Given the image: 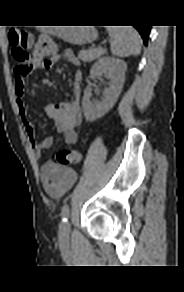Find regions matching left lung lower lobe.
I'll list each match as a JSON object with an SVG mask.
<instances>
[{"instance_id": "left-lung-lower-lobe-1", "label": "left lung lower lobe", "mask_w": 184, "mask_h": 292, "mask_svg": "<svg viewBox=\"0 0 184 292\" xmlns=\"http://www.w3.org/2000/svg\"><path fill=\"white\" fill-rule=\"evenodd\" d=\"M134 27L138 30L141 37L143 38L144 44L147 45L148 36L150 33V27L151 26H145V25H134Z\"/></svg>"}]
</instances>
